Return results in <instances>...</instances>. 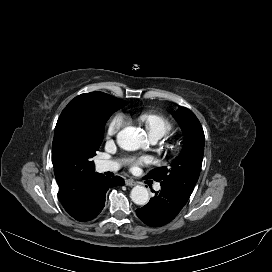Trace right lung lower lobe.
I'll list each match as a JSON object with an SVG mask.
<instances>
[{"label":"right lung lower lobe","mask_w":272,"mask_h":272,"mask_svg":"<svg viewBox=\"0 0 272 272\" xmlns=\"http://www.w3.org/2000/svg\"><path fill=\"white\" fill-rule=\"evenodd\" d=\"M122 185H124L123 178L119 176L107 178L101 174L94 180L92 189L83 207L71 216L82 222L90 221L96 218L105 205V194L109 188Z\"/></svg>","instance_id":"98d812e1"}]
</instances>
